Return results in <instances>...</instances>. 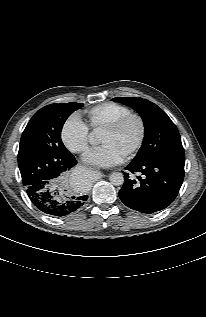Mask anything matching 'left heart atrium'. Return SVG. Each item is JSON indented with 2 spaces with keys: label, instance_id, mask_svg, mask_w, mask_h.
<instances>
[{
  "label": "left heart atrium",
  "instance_id": "1",
  "mask_svg": "<svg viewBox=\"0 0 206 317\" xmlns=\"http://www.w3.org/2000/svg\"><path fill=\"white\" fill-rule=\"evenodd\" d=\"M125 157L121 151L110 144H102L90 150L84 160L99 166H113L121 163Z\"/></svg>",
  "mask_w": 206,
  "mask_h": 317
}]
</instances>
